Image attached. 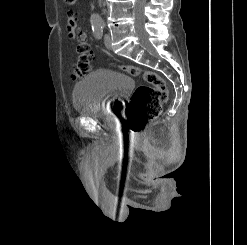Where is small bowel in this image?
Segmentation results:
<instances>
[{"instance_id":"obj_1","label":"small bowel","mask_w":247,"mask_h":245,"mask_svg":"<svg viewBox=\"0 0 247 245\" xmlns=\"http://www.w3.org/2000/svg\"><path fill=\"white\" fill-rule=\"evenodd\" d=\"M68 36L71 39H75L76 36L85 39V34L77 27V15L74 11L70 10L68 15Z\"/></svg>"}]
</instances>
